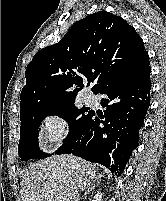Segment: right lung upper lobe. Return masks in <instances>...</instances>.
<instances>
[{
    "instance_id": "obj_1",
    "label": "right lung upper lobe",
    "mask_w": 166,
    "mask_h": 201,
    "mask_svg": "<svg viewBox=\"0 0 166 201\" xmlns=\"http://www.w3.org/2000/svg\"><path fill=\"white\" fill-rule=\"evenodd\" d=\"M145 54L143 40L124 19L107 11L90 14L57 44L34 55L25 73L20 115L73 102L85 80L95 93Z\"/></svg>"
}]
</instances>
